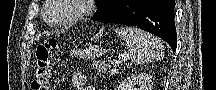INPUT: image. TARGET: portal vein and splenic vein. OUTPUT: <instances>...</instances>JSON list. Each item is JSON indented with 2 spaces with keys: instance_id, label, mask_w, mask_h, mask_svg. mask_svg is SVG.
I'll list each match as a JSON object with an SVG mask.
<instances>
[{
  "instance_id": "portal-vein-and-splenic-vein-1",
  "label": "portal vein and splenic vein",
  "mask_w": 216,
  "mask_h": 90,
  "mask_svg": "<svg viewBox=\"0 0 216 90\" xmlns=\"http://www.w3.org/2000/svg\"><path fill=\"white\" fill-rule=\"evenodd\" d=\"M118 64H122V62H118Z\"/></svg>"
}]
</instances>
